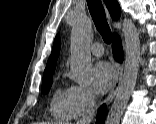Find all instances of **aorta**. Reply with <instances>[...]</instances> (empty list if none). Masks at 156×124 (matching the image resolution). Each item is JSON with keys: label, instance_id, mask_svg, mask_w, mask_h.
I'll return each mask as SVG.
<instances>
[{"label": "aorta", "instance_id": "obj_1", "mask_svg": "<svg viewBox=\"0 0 156 124\" xmlns=\"http://www.w3.org/2000/svg\"><path fill=\"white\" fill-rule=\"evenodd\" d=\"M122 32L125 42L124 72L114 102L106 118V124H120L121 117L133 92L140 64L139 33L132 21L123 20ZM92 35V21L78 19L71 32V78L79 85L92 81V63L89 50Z\"/></svg>", "mask_w": 156, "mask_h": 124}]
</instances>
